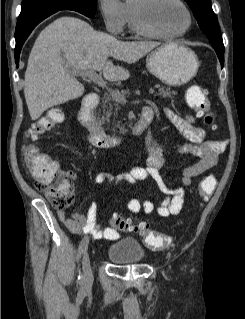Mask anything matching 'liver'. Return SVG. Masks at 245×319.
Wrapping results in <instances>:
<instances>
[{
	"instance_id": "liver-1",
	"label": "liver",
	"mask_w": 245,
	"mask_h": 319,
	"mask_svg": "<svg viewBox=\"0 0 245 319\" xmlns=\"http://www.w3.org/2000/svg\"><path fill=\"white\" fill-rule=\"evenodd\" d=\"M159 45L152 41H119L76 17L56 19L38 35L28 59L24 95L32 120L84 93L83 84L72 70H102L108 81L126 80L129 71L115 66L109 58L135 63Z\"/></svg>"
}]
</instances>
